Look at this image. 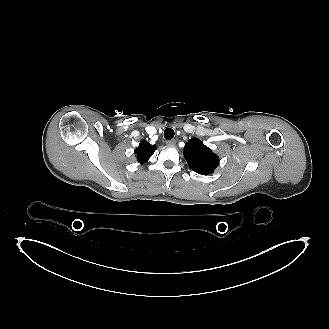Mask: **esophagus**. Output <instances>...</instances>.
Here are the masks:
<instances>
[{
  "instance_id": "34e87169",
  "label": "esophagus",
  "mask_w": 329,
  "mask_h": 329,
  "mask_svg": "<svg viewBox=\"0 0 329 329\" xmlns=\"http://www.w3.org/2000/svg\"><path fill=\"white\" fill-rule=\"evenodd\" d=\"M166 144L168 146H174L176 144V141L175 140H168V141H166Z\"/></svg>"
}]
</instances>
